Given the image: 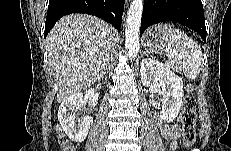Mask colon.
Returning <instances> with one entry per match:
<instances>
[{
  "mask_svg": "<svg viewBox=\"0 0 231 151\" xmlns=\"http://www.w3.org/2000/svg\"><path fill=\"white\" fill-rule=\"evenodd\" d=\"M192 91V86L188 87ZM196 102L191 94H188L182 104L181 122H182V143L185 147H190L196 139ZM58 142L65 151H73V147L66 136L58 131Z\"/></svg>",
  "mask_w": 231,
  "mask_h": 151,
  "instance_id": "obj_1",
  "label": "colon"
}]
</instances>
